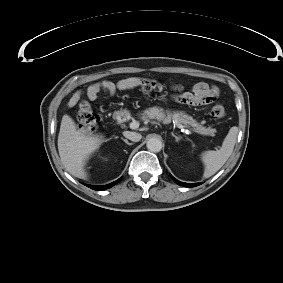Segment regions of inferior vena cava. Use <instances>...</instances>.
<instances>
[{
  "mask_svg": "<svg viewBox=\"0 0 283 283\" xmlns=\"http://www.w3.org/2000/svg\"><path fill=\"white\" fill-rule=\"evenodd\" d=\"M124 136L133 142H138L142 138L141 134L130 131L124 132Z\"/></svg>",
  "mask_w": 283,
  "mask_h": 283,
  "instance_id": "inferior-vena-cava-1",
  "label": "inferior vena cava"
}]
</instances>
